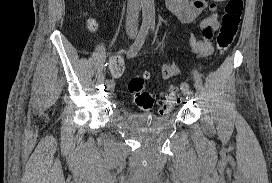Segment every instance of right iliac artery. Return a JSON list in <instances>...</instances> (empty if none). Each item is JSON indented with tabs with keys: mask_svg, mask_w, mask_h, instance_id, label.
Here are the masks:
<instances>
[{
	"mask_svg": "<svg viewBox=\"0 0 272 183\" xmlns=\"http://www.w3.org/2000/svg\"><path fill=\"white\" fill-rule=\"evenodd\" d=\"M149 28H150V25L142 24L134 43L131 45V47L129 48L127 52V58H132L136 56V54L138 53V51L141 49L142 45L145 42ZM107 82H111V80H107Z\"/></svg>",
	"mask_w": 272,
	"mask_h": 183,
	"instance_id": "right-iliac-artery-1",
	"label": "right iliac artery"
}]
</instances>
